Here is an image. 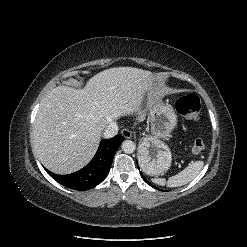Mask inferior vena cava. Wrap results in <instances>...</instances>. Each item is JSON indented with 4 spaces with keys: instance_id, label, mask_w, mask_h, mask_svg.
Here are the masks:
<instances>
[{
    "instance_id": "1",
    "label": "inferior vena cava",
    "mask_w": 247,
    "mask_h": 247,
    "mask_svg": "<svg viewBox=\"0 0 247 247\" xmlns=\"http://www.w3.org/2000/svg\"><path fill=\"white\" fill-rule=\"evenodd\" d=\"M117 133H118V125L115 122H111L106 126L103 132V136L104 138L108 139L114 137L115 135H117Z\"/></svg>"
}]
</instances>
